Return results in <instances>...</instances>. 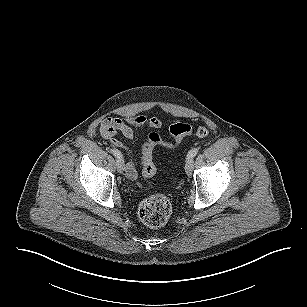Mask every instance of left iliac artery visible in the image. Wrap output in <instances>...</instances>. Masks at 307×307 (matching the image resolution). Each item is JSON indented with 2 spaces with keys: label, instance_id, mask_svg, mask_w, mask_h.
Returning <instances> with one entry per match:
<instances>
[{
  "label": "left iliac artery",
  "instance_id": "obj_1",
  "mask_svg": "<svg viewBox=\"0 0 307 307\" xmlns=\"http://www.w3.org/2000/svg\"><path fill=\"white\" fill-rule=\"evenodd\" d=\"M198 154V149L197 148H193L191 149L188 154H187V159L193 158Z\"/></svg>",
  "mask_w": 307,
  "mask_h": 307
}]
</instances>
